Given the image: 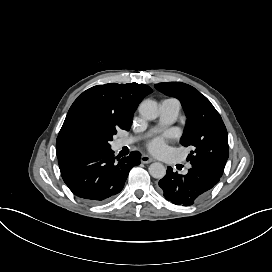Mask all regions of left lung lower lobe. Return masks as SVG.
<instances>
[{"label": "left lung lower lobe", "instance_id": "0a47b994", "mask_svg": "<svg viewBox=\"0 0 272 272\" xmlns=\"http://www.w3.org/2000/svg\"><path fill=\"white\" fill-rule=\"evenodd\" d=\"M221 176L200 165H192L186 175L167 168V174L159 181L164 197L176 204L190 206L202 198L219 181Z\"/></svg>", "mask_w": 272, "mask_h": 272}]
</instances>
